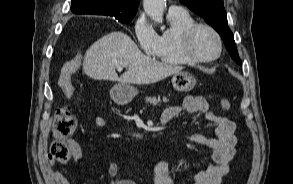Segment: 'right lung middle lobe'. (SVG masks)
Wrapping results in <instances>:
<instances>
[{"instance_id": "obj_1", "label": "right lung middle lobe", "mask_w": 293, "mask_h": 184, "mask_svg": "<svg viewBox=\"0 0 293 184\" xmlns=\"http://www.w3.org/2000/svg\"><path fill=\"white\" fill-rule=\"evenodd\" d=\"M132 18L133 17H130V18H120V19H118V21L121 22V23H127V22L131 21Z\"/></svg>"}]
</instances>
